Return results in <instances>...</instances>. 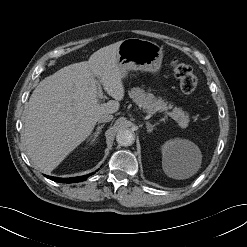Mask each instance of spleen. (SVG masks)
<instances>
[{
  "label": "spleen",
  "instance_id": "spleen-1",
  "mask_svg": "<svg viewBox=\"0 0 247 247\" xmlns=\"http://www.w3.org/2000/svg\"><path fill=\"white\" fill-rule=\"evenodd\" d=\"M170 175H171L172 177H177V178H185V177H187L186 174H184V173H179V172H175V171H171V172H170Z\"/></svg>",
  "mask_w": 247,
  "mask_h": 247
}]
</instances>
